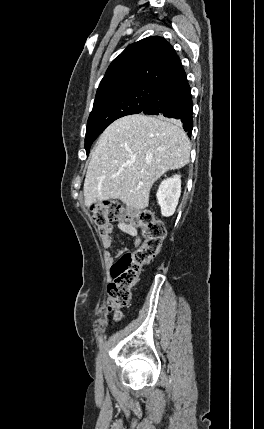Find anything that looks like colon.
<instances>
[{
  "label": "colon",
  "instance_id": "5ec220e1",
  "mask_svg": "<svg viewBox=\"0 0 264 429\" xmlns=\"http://www.w3.org/2000/svg\"><path fill=\"white\" fill-rule=\"evenodd\" d=\"M123 215V207L118 202H107L104 207L94 211L93 221L99 231H102L109 221ZM132 219L141 229L143 242L134 251L124 253L111 266L112 280L108 285V303L116 320L121 318V309L129 304L132 290L143 267L157 255L166 233L163 223L155 219L149 211H139Z\"/></svg>",
  "mask_w": 264,
  "mask_h": 429
}]
</instances>
